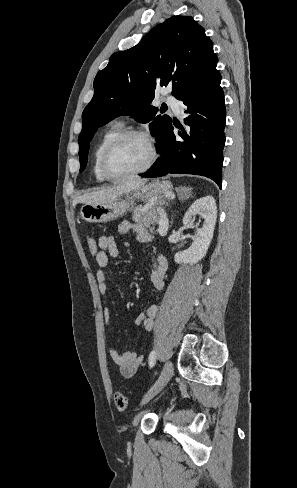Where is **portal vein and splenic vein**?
Returning a JSON list of instances; mask_svg holds the SVG:
<instances>
[{
	"label": "portal vein and splenic vein",
	"instance_id": "18ae733b",
	"mask_svg": "<svg viewBox=\"0 0 297 488\" xmlns=\"http://www.w3.org/2000/svg\"><path fill=\"white\" fill-rule=\"evenodd\" d=\"M157 210H158L159 215H160V230H162L164 228L165 224L167 223L168 219H167L166 213L164 212V210L162 208H158Z\"/></svg>",
	"mask_w": 297,
	"mask_h": 488
}]
</instances>
